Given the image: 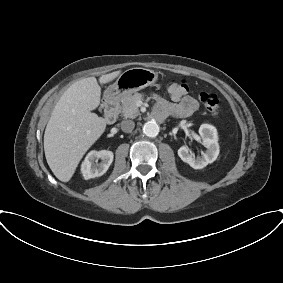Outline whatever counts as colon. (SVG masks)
Returning a JSON list of instances; mask_svg holds the SVG:
<instances>
[{"label": "colon", "instance_id": "1", "mask_svg": "<svg viewBox=\"0 0 283 283\" xmlns=\"http://www.w3.org/2000/svg\"><path fill=\"white\" fill-rule=\"evenodd\" d=\"M166 88L172 98L182 97L187 92V84L184 81L170 80ZM200 101L207 111L213 114L218 113L220 100L214 93L202 92Z\"/></svg>", "mask_w": 283, "mask_h": 283}]
</instances>
